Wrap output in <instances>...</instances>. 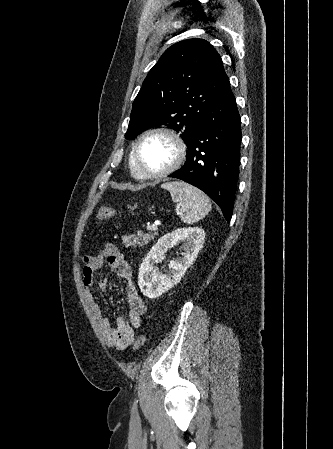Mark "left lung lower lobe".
Returning <instances> with one entry per match:
<instances>
[{
  "instance_id": "obj_1",
  "label": "left lung lower lobe",
  "mask_w": 333,
  "mask_h": 449,
  "mask_svg": "<svg viewBox=\"0 0 333 449\" xmlns=\"http://www.w3.org/2000/svg\"><path fill=\"white\" fill-rule=\"evenodd\" d=\"M241 121L229 81L208 106L184 166L169 175L204 191L229 222L239 174Z\"/></svg>"
}]
</instances>
